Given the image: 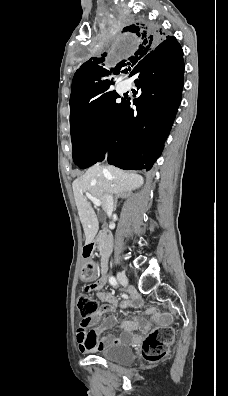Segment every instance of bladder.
Instances as JSON below:
<instances>
[{
    "label": "bladder",
    "mask_w": 228,
    "mask_h": 396,
    "mask_svg": "<svg viewBox=\"0 0 228 396\" xmlns=\"http://www.w3.org/2000/svg\"><path fill=\"white\" fill-rule=\"evenodd\" d=\"M96 355L116 364L127 365L134 361L135 353L128 344H111L103 349L97 350Z\"/></svg>",
    "instance_id": "bladder-1"
}]
</instances>
